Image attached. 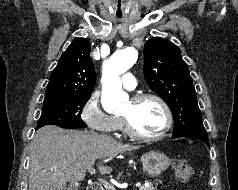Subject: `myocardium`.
<instances>
[{
	"label": "myocardium",
	"instance_id": "myocardium-1",
	"mask_svg": "<svg viewBox=\"0 0 238 190\" xmlns=\"http://www.w3.org/2000/svg\"><path fill=\"white\" fill-rule=\"evenodd\" d=\"M144 100H154L163 109L164 114H165V126L163 127V129L155 135H144L134 129L128 116L120 115V119H121L123 128H124L125 132L130 137H132L136 140H139V141L149 142V141L160 140L163 137H165L172 128V125H173L172 111H171L169 105L166 103V101L162 97H160L159 95L154 94V93H139V94L132 96L130 99V101L133 104L140 103Z\"/></svg>",
	"mask_w": 238,
	"mask_h": 190
}]
</instances>
